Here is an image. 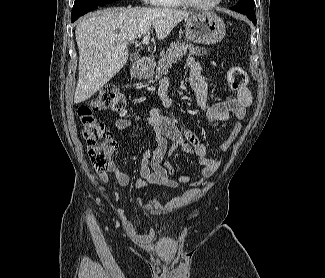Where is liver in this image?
Segmentation results:
<instances>
[{
	"mask_svg": "<svg viewBox=\"0 0 325 278\" xmlns=\"http://www.w3.org/2000/svg\"><path fill=\"white\" fill-rule=\"evenodd\" d=\"M190 15L187 11L161 7H133L106 9L84 17L75 30L79 78L74 103L89 99L124 67L130 41L148 33L152 26L162 40Z\"/></svg>",
	"mask_w": 325,
	"mask_h": 278,
	"instance_id": "6515ba94",
	"label": "liver"
}]
</instances>
